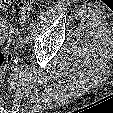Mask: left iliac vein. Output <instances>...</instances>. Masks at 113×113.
I'll use <instances>...</instances> for the list:
<instances>
[{"mask_svg": "<svg viewBox=\"0 0 113 113\" xmlns=\"http://www.w3.org/2000/svg\"><path fill=\"white\" fill-rule=\"evenodd\" d=\"M28 42H29V39L26 36H20L17 40V45L19 47H23Z\"/></svg>", "mask_w": 113, "mask_h": 113, "instance_id": "1", "label": "left iliac vein"}]
</instances>
